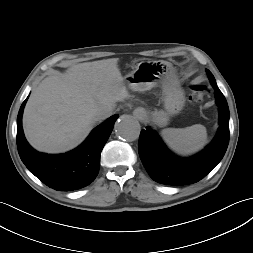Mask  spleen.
I'll return each mask as SVG.
<instances>
[{
    "label": "spleen",
    "instance_id": "spleen-1",
    "mask_svg": "<svg viewBox=\"0 0 253 253\" xmlns=\"http://www.w3.org/2000/svg\"><path fill=\"white\" fill-rule=\"evenodd\" d=\"M161 135L172 150L182 155L193 154L207 143V131L201 124L163 129Z\"/></svg>",
    "mask_w": 253,
    "mask_h": 253
}]
</instances>
